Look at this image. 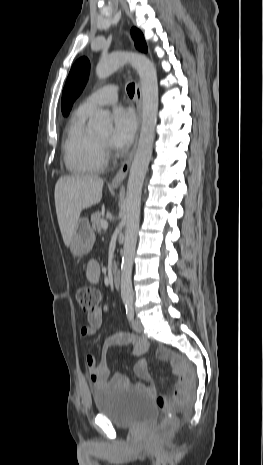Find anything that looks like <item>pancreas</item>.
Segmentation results:
<instances>
[{
  "label": "pancreas",
  "mask_w": 263,
  "mask_h": 465,
  "mask_svg": "<svg viewBox=\"0 0 263 465\" xmlns=\"http://www.w3.org/2000/svg\"><path fill=\"white\" fill-rule=\"evenodd\" d=\"M104 219L102 218V215L100 212H96L94 213L92 216H91V223H92V228L93 230L99 232L101 231V222L103 221Z\"/></svg>",
  "instance_id": "obj_1"
}]
</instances>
